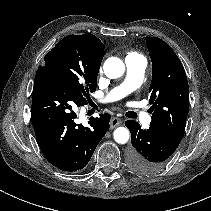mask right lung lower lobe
<instances>
[{"label": "right lung lower lobe", "mask_w": 211, "mask_h": 211, "mask_svg": "<svg viewBox=\"0 0 211 211\" xmlns=\"http://www.w3.org/2000/svg\"><path fill=\"white\" fill-rule=\"evenodd\" d=\"M87 104L70 86L47 76H35L31 119L36 139L46 159L63 171L83 169L108 131L107 113L77 124L75 108Z\"/></svg>", "instance_id": "obj_1"}]
</instances>
